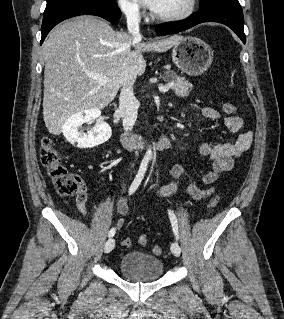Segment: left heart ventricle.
I'll return each mask as SVG.
<instances>
[{
	"mask_svg": "<svg viewBox=\"0 0 284 319\" xmlns=\"http://www.w3.org/2000/svg\"><path fill=\"white\" fill-rule=\"evenodd\" d=\"M189 0H159L154 12L158 15H173L182 12Z\"/></svg>",
	"mask_w": 284,
	"mask_h": 319,
	"instance_id": "obj_1",
	"label": "left heart ventricle"
}]
</instances>
